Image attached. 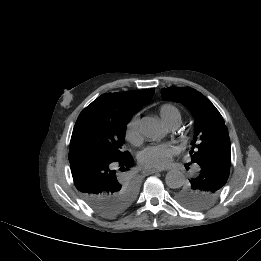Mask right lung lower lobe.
I'll use <instances>...</instances> for the list:
<instances>
[{
	"label": "right lung lower lobe",
	"mask_w": 261,
	"mask_h": 261,
	"mask_svg": "<svg viewBox=\"0 0 261 261\" xmlns=\"http://www.w3.org/2000/svg\"><path fill=\"white\" fill-rule=\"evenodd\" d=\"M69 161L75 187L84 201L109 217L120 214L122 209L116 195L127 177L126 171L134 164L132 156L106 158L85 148H74L69 151Z\"/></svg>",
	"instance_id": "1"
}]
</instances>
